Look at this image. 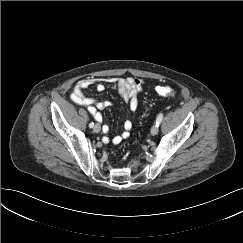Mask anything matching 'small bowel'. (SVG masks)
<instances>
[{"label":"small bowel","instance_id":"small-bowel-1","mask_svg":"<svg viewBox=\"0 0 243 243\" xmlns=\"http://www.w3.org/2000/svg\"><path fill=\"white\" fill-rule=\"evenodd\" d=\"M144 81L139 78H108L99 79L95 77H89L79 80L73 91L70 94L71 100L81 106H86L89 108L90 113L97 121H102V115L99 110L110 107L111 102L108 100H98L96 98L85 95V91L91 86H95L96 90L102 92L105 90L106 86H110L116 89L123 100L128 104L131 111H135L138 107V97L143 90ZM133 127V122L127 120L124 122V130L111 139L113 144H119L123 139L129 136V131ZM103 131L107 133L109 127L107 125L103 126ZM108 137L104 138V142H109Z\"/></svg>","mask_w":243,"mask_h":243}]
</instances>
